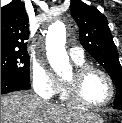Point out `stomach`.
<instances>
[{
	"label": "stomach",
	"mask_w": 122,
	"mask_h": 123,
	"mask_svg": "<svg viewBox=\"0 0 122 123\" xmlns=\"http://www.w3.org/2000/svg\"><path fill=\"white\" fill-rule=\"evenodd\" d=\"M79 123H104L103 119L94 112H87V116Z\"/></svg>",
	"instance_id": "0dacf381"
}]
</instances>
